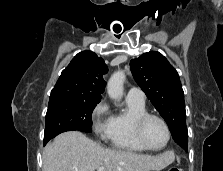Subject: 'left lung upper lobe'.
<instances>
[{
    "mask_svg": "<svg viewBox=\"0 0 223 171\" xmlns=\"http://www.w3.org/2000/svg\"><path fill=\"white\" fill-rule=\"evenodd\" d=\"M133 77L169 126L174 141L188 150L184 92L175 68L157 51L130 61Z\"/></svg>",
    "mask_w": 223,
    "mask_h": 171,
    "instance_id": "obj_1",
    "label": "left lung upper lobe"
}]
</instances>
